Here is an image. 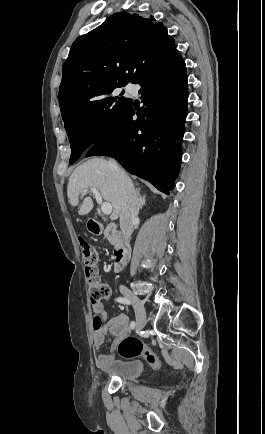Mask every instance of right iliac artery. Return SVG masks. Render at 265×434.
<instances>
[{
    "mask_svg": "<svg viewBox=\"0 0 265 434\" xmlns=\"http://www.w3.org/2000/svg\"><path fill=\"white\" fill-rule=\"evenodd\" d=\"M115 300H116L117 302H119V303H122V304H127V305L130 304V301H129L128 299L124 298V297H117ZM130 328H131V329H134V328H135V322H134V321H132V322L130 323Z\"/></svg>",
    "mask_w": 265,
    "mask_h": 434,
    "instance_id": "82829eb1",
    "label": "right iliac artery"
}]
</instances>
